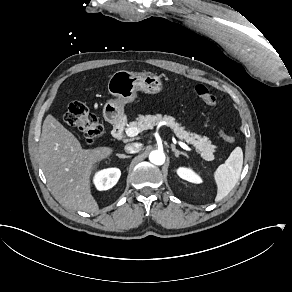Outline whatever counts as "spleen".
<instances>
[{
    "label": "spleen",
    "instance_id": "3e777b00",
    "mask_svg": "<svg viewBox=\"0 0 292 292\" xmlns=\"http://www.w3.org/2000/svg\"><path fill=\"white\" fill-rule=\"evenodd\" d=\"M243 166V151L236 147L224 164H221L214 173L218 187L215 201L218 202L226 197L235 187L240 178Z\"/></svg>",
    "mask_w": 292,
    "mask_h": 292
}]
</instances>
